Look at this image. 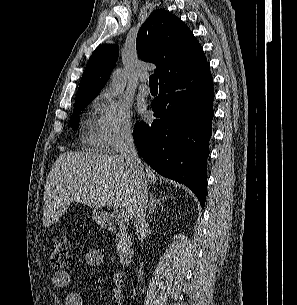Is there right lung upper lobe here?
Returning a JSON list of instances; mask_svg holds the SVG:
<instances>
[{"label": "right lung upper lobe", "instance_id": "right-lung-upper-lobe-1", "mask_svg": "<svg viewBox=\"0 0 297 305\" xmlns=\"http://www.w3.org/2000/svg\"><path fill=\"white\" fill-rule=\"evenodd\" d=\"M138 56L156 64L159 83L194 72L206 64L202 47L190 29L175 15L157 9L141 26L137 39ZM119 54L114 44L101 45L92 53L78 88L76 100L96 96L109 79Z\"/></svg>", "mask_w": 297, "mask_h": 305}]
</instances>
